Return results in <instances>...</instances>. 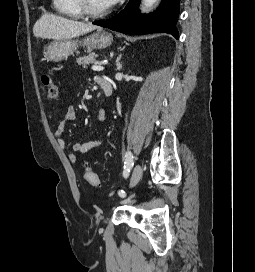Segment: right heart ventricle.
<instances>
[{"mask_svg": "<svg viewBox=\"0 0 255 272\" xmlns=\"http://www.w3.org/2000/svg\"><path fill=\"white\" fill-rule=\"evenodd\" d=\"M52 5L55 12L67 17L80 18L83 15L77 0H52Z\"/></svg>", "mask_w": 255, "mask_h": 272, "instance_id": "1", "label": "right heart ventricle"}]
</instances>
